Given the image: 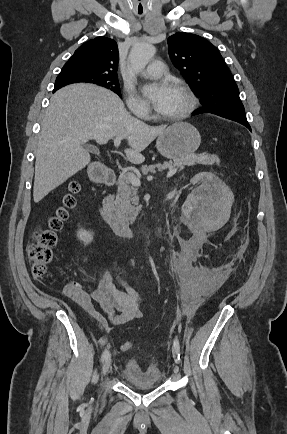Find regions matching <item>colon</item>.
Instances as JSON below:
<instances>
[{
  "label": "colon",
  "instance_id": "5ec220e1",
  "mask_svg": "<svg viewBox=\"0 0 287 434\" xmlns=\"http://www.w3.org/2000/svg\"><path fill=\"white\" fill-rule=\"evenodd\" d=\"M81 191L78 181H71L68 192L63 196L61 204L47 218L46 226L38 228L28 245V255L31 261V272L34 277L43 280L47 276V266L53 257V248L57 242V233L69 219L70 212L77 206V195ZM132 347L130 342L121 345L122 351Z\"/></svg>",
  "mask_w": 287,
  "mask_h": 434
}]
</instances>
